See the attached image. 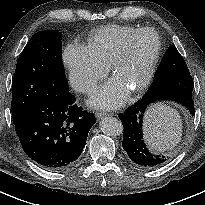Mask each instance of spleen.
Segmentation results:
<instances>
[{
  "instance_id": "1",
  "label": "spleen",
  "mask_w": 205,
  "mask_h": 205,
  "mask_svg": "<svg viewBox=\"0 0 205 205\" xmlns=\"http://www.w3.org/2000/svg\"><path fill=\"white\" fill-rule=\"evenodd\" d=\"M147 144L158 152L174 148L182 136V122L179 112L167 105L151 107L143 122Z\"/></svg>"
}]
</instances>
